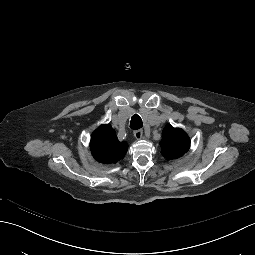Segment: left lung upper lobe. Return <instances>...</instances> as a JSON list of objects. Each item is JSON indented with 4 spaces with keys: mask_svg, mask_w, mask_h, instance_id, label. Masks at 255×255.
Segmentation results:
<instances>
[{
    "mask_svg": "<svg viewBox=\"0 0 255 255\" xmlns=\"http://www.w3.org/2000/svg\"><path fill=\"white\" fill-rule=\"evenodd\" d=\"M162 155L167 159H176L183 156L190 147V139L180 128L166 125L162 132Z\"/></svg>",
    "mask_w": 255,
    "mask_h": 255,
    "instance_id": "obj_1",
    "label": "left lung upper lobe"
}]
</instances>
